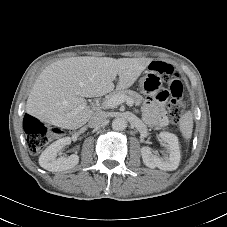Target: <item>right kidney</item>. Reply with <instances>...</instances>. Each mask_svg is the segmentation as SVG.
Masks as SVG:
<instances>
[{
    "mask_svg": "<svg viewBox=\"0 0 227 227\" xmlns=\"http://www.w3.org/2000/svg\"><path fill=\"white\" fill-rule=\"evenodd\" d=\"M70 143L71 138L64 137L48 146L39 157L40 166L52 172L64 171L76 166L79 162V157L76 154H72L68 157L60 156L57 158L59 151Z\"/></svg>",
    "mask_w": 227,
    "mask_h": 227,
    "instance_id": "1",
    "label": "right kidney"
}]
</instances>
